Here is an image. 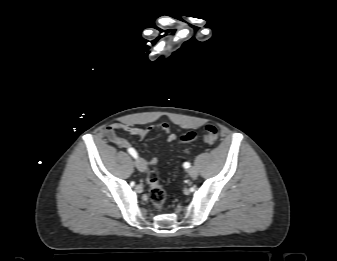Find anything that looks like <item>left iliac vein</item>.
I'll list each match as a JSON object with an SVG mask.
<instances>
[{
	"label": "left iliac vein",
	"instance_id": "4c4485c4",
	"mask_svg": "<svg viewBox=\"0 0 337 261\" xmlns=\"http://www.w3.org/2000/svg\"><path fill=\"white\" fill-rule=\"evenodd\" d=\"M188 174L190 175V177L196 178L198 176L197 168L192 167V168L188 169Z\"/></svg>",
	"mask_w": 337,
	"mask_h": 261
}]
</instances>
